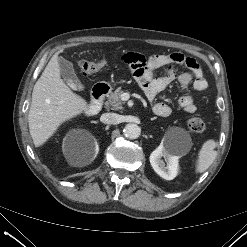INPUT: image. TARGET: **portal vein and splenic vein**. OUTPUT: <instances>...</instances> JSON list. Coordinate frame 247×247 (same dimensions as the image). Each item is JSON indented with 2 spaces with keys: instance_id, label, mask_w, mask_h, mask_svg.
<instances>
[{
  "instance_id": "portal-vein-and-splenic-vein-1",
  "label": "portal vein and splenic vein",
  "mask_w": 247,
  "mask_h": 247,
  "mask_svg": "<svg viewBox=\"0 0 247 247\" xmlns=\"http://www.w3.org/2000/svg\"><path fill=\"white\" fill-rule=\"evenodd\" d=\"M121 97H122V100H127L129 98V95L124 93V94H122Z\"/></svg>"
}]
</instances>
